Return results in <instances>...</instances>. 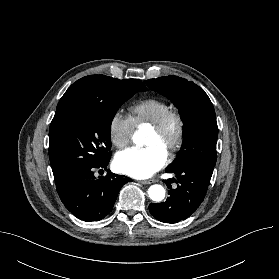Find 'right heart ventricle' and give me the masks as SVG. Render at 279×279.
Returning a JSON list of instances; mask_svg holds the SVG:
<instances>
[{"label": "right heart ventricle", "mask_w": 279, "mask_h": 279, "mask_svg": "<svg viewBox=\"0 0 279 279\" xmlns=\"http://www.w3.org/2000/svg\"><path fill=\"white\" fill-rule=\"evenodd\" d=\"M171 108L170 104L159 98H148L134 104L130 108V118L135 127L153 125L164 112Z\"/></svg>", "instance_id": "obj_1"}]
</instances>
